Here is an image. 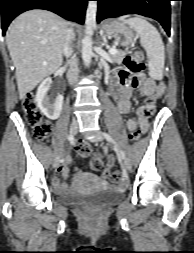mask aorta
Listing matches in <instances>:
<instances>
[{
  "instance_id": "1",
  "label": "aorta",
  "mask_w": 194,
  "mask_h": 253,
  "mask_svg": "<svg viewBox=\"0 0 194 253\" xmlns=\"http://www.w3.org/2000/svg\"><path fill=\"white\" fill-rule=\"evenodd\" d=\"M97 2L89 1L85 16V36L82 40V59L86 65L91 63L92 58V34L96 26Z\"/></svg>"
}]
</instances>
